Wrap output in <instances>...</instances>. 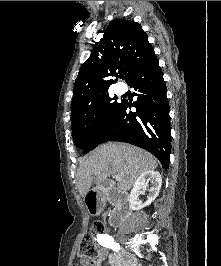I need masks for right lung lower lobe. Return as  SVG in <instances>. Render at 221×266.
I'll return each instance as SVG.
<instances>
[{"label":"right lung lower lobe","mask_w":221,"mask_h":266,"mask_svg":"<svg viewBox=\"0 0 221 266\" xmlns=\"http://www.w3.org/2000/svg\"><path fill=\"white\" fill-rule=\"evenodd\" d=\"M128 84L137 92V101L133 104L123 101L114 124L99 144L119 141L136 145L155 155L164 168H168L171 148L170 108L158 59L133 74ZM132 106L137 109L136 112L131 111Z\"/></svg>","instance_id":"right-lung-lower-lobe-1"}]
</instances>
